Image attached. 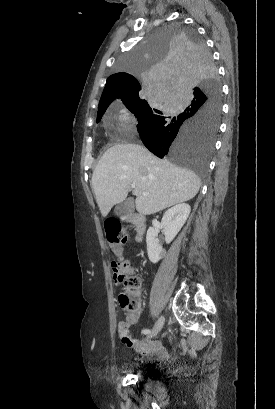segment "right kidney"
<instances>
[{
    "label": "right kidney",
    "instance_id": "right-kidney-1",
    "mask_svg": "<svg viewBox=\"0 0 275 409\" xmlns=\"http://www.w3.org/2000/svg\"><path fill=\"white\" fill-rule=\"evenodd\" d=\"M190 211V205H187V202H181V205H175V207H171V209H168V211L164 213L161 221V229H163L166 243L173 241L174 237H176L177 233L182 229L185 221H187ZM158 233V229L149 227L146 235L147 253L151 263H158L165 255L164 249H162L156 239Z\"/></svg>",
    "mask_w": 275,
    "mask_h": 409
}]
</instances>
